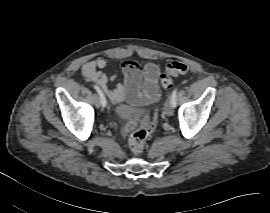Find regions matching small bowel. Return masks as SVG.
Here are the masks:
<instances>
[{
	"mask_svg": "<svg viewBox=\"0 0 270 213\" xmlns=\"http://www.w3.org/2000/svg\"><path fill=\"white\" fill-rule=\"evenodd\" d=\"M108 64V59L104 57L90 60L82 66V75L97 85L113 102L134 101L138 98L142 104L151 105L158 99L160 89L157 82L160 71L156 64L148 63L141 68L135 61H125L121 68L124 81L114 89L109 87V83L115 81L119 73L110 77L102 73L101 70ZM142 80L144 83L141 87Z\"/></svg>",
	"mask_w": 270,
	"mask_h": 213,
	"instance_id": "1",
	"label": "small bowel"
}]
</instances>
